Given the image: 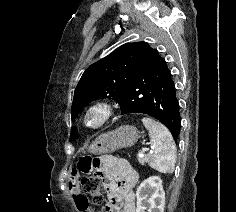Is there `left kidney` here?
<instances>
[{
    "mask_svg": "<svg viewBox=\"0 0 236 212\" xmlns=\"http://www.w3.org/2000/svg\"><path fill=\"white\" fill-rule=\"evenodd\" d=\"M136 196V212H164L165 192L160 177L152 176L144 180L138 186Z\"/></svg>",
    "mask_w": 236,
    "mask_h": 212,
    "instance_id": "5707ae66",
    "label": "left kidney"
}]
</instances>
